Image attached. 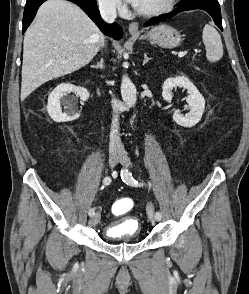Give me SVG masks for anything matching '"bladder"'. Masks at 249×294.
Instances as JSON below:
<instances>
[{"instance_id": "bladder-1", "label": "bladder", "mask_w": 249, "mask_h": 294, "mask_svg": "<svg viewBox=\"0 0 249 294\" xmlns=\"http://www.w3.org/2000/svg\"><path fill=\"white\" fill-rule=\"evenodd\" d=\"M141 232V225L129 217L123 218L110 225L105 232V239L113 240L119 238L138 239Z\"/></svg>"}]
</instances>
